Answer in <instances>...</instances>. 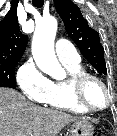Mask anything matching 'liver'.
I'll return each instance as SVG.
<instances>
[{
	"mask_svg": "<svg viewBox=\"0 0 117 136\" xmlns=\"http://www.w3.org/2000/svg\"><path fill=\"white\" fill-rule=\"evenodd\" d=\"M78 118L35 105L16 90L0 88V136H57Z\"/></svg>",
	"mask_w": 117,
	"mask_h": 136,
	"instance_id": "6515ba94",
	"label": "liver"
}]
</instances>
